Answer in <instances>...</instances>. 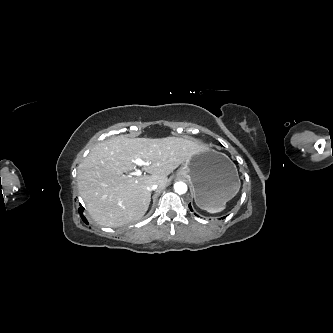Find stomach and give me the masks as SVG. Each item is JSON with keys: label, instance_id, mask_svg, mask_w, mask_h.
I'll use <instances>...</instances> for the list:
<instances>
[{"label": "stomach", "instance_id": "0dacf381", "mask_svg": "<svg viewBox=\"0 0 333 333\" xmlns=\"http://www.w3.org/2000/svg\"><path fill=\"white\" fill-rule=\"evenodd\" d=\"M177 177L186 178L198 207L224 206L236 194L239 177L235 164L214 149L198 152L182 163Z\"/></svg>", "mask_w": 333, "mask_h": 333}]
</instances>
